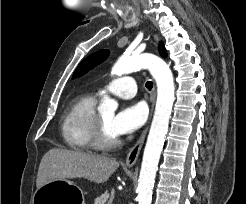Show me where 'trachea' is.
Segmentation results:
<instances>
[{
  "label": "trachea",
  "instance_id": "trachea-1",
  "mask_svg": "<svg viewBox=\"0 0 246 204\" xmlns=\"http://www.w3.org/2000/svg\"><path fill=\"white\" fill-rule=\"evenodd\" d=\"M146 87H147V89L151 90L152 87H153V82L147 81V82H146Z\"/></svg>",
  "mask_w": 246,
  "mask_h": 204
}]
</instances>
